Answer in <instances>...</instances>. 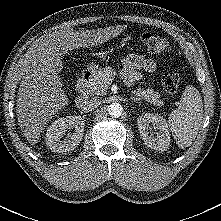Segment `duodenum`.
Masks as SVG:
<instances>
[{
  "label": "duodenum",
  "instance_id": "duodenum-1",
  "mask_svg": "<svg viewBox=\"0 0 221 221\" xmlns=\"http://www.w3.org/2000/svg\"><path fill=\"white\" fill-rule=\"evenodd\" d=\"M91 74L89 71H83L77 80L76 89H77V97L75 101V106L78 109L83 108V106L88 101L87 87L90 81Z\"/></svg>",
  "mask_w": 221,
  "mask_h": 221
}]
</instances>
